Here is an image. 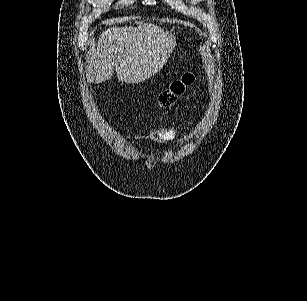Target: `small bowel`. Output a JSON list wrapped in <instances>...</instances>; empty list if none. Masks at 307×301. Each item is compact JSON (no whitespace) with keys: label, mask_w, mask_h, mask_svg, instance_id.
<instances>
[{"label":"small bowel","mask_w":307,"mask_h":301,"mask_svg":"<svg viewBox=\"0 0 307 301\" xmlns=\"http://www.w3.org/2000/svg\"><path fill=\"white\" fill-rule=\"evenodd\" d=\"M147 137H156L161 142L167 143L174 140L177 137V130L174 125H159L153 128H150L146 131ZM186 139V135L180 137L181 141Z\"/></svg>","instance_id":"small-bowel-1"}]
</instances>
